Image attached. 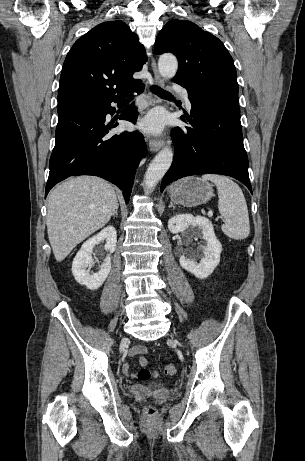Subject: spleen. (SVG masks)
Returning a JSON list of instances; mask_svg holds the SVG:
<instances>
[{
  "label": "spleen",
  "instance_id": "obj_1",
  "mask_svg": "<svg viewBox=\"0 0 305 461\" xmlns=\"http://www.w3.org/2000/svg\"><path fill=\"white\" fill-rule=\"evenodd\" d=\"M202 180L211 181L217 187L218 209L225 218L221 229L234 240H243L250 232L249 214L241 188L226 176L204 174Z\"/></svg>",
  "mask_w": 305,
  "mask_h": 461
}]
</instances>
